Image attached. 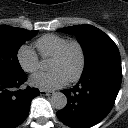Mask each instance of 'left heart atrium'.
<instances>
[{
    "instance_id": "left-heart-atrium-1",
    "label": "left heart atrium",
    "mask_w": 128,
    "mask_h": 128,
    "mask_svg": "<svg viewBox=\"0 0 128 128\" xmlns=\"http://www.w3.org/2000/svg\"><path fill=\"white\" fill-rule=\"evenodd\" d=\"M67 78L57 70L40 72L30 78V84L41 90H54L65 85Z\"/></svg>"
}]
</instances>
